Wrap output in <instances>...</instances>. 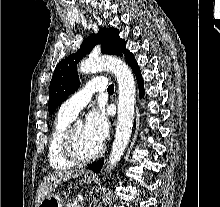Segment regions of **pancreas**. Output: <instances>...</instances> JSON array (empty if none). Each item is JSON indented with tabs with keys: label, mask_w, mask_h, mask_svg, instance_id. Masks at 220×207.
I'll use <instances>...</instances> for the list:
<instances>
[{
	"label": "pancreas",
	"mask_w": 220,
	"mask_h": 207,
	"mask_svg": "<svg viewBox=\"0 0 220 207\" xmlns=\"http://www.w3.org/2000/svg\"><path fill=\"white\" fill-rule=\"evenodd\" d=\"M65 207H83V202H79V201H70L67 202Z\"/></svg>",
	"instance_id": "cf45deb5"
}]
</instances>
